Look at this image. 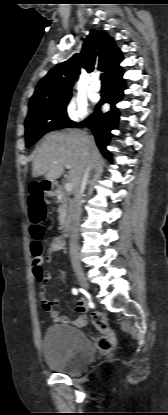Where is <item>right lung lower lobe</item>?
<instances>
[{"label": "right lung lower lobe", "mask_w": 168, "mask_h": 415, "mask_svg": "<svg viewBox=\"0 0 168 415\" xmlns=\"http://www.w3.org/2000/svg\"><path fill=\"white\" fill-rule=\"evenodd\" d=\"M122 76L123 69L109 77V90L102 96L95 112L82 123H74L71 126L87 125L92 130L101 153L107 158H109V152L107 151L106 146L109 144L112 137L111 130L117 128L120 116L119 110L116 108V103L122 99L124 95L123 90L126 88ZM103 103H109L111 105V110L109 112L102 113L100 111L99 106Z\"/></svg>", "instance_id": "1"}]
</instances>
